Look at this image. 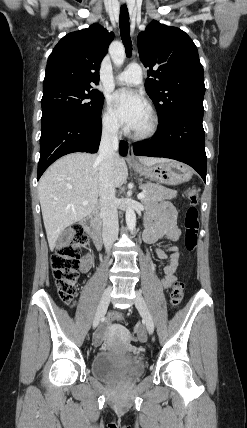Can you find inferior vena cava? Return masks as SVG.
Instances as JSON below:
<instances>
[{"mask_svg": "<svg viewBox=\"0 0 247 428\" xmlns=\"http://www.w3.org/2000/svg\"><path fill=\"white\" fill-rule=\"evenodd\" d=\"M118 129L117 123L106 126L102 131L97 162L100 182V216L103 221V242L106 250L118 237V213L115 186L113 183L114 158L118 155Z\"/></svg>", "mask_w": 247, "mask_h": 428, "instance_id": "obj_1", "label": "inferior vena cava"}]
</instances>
